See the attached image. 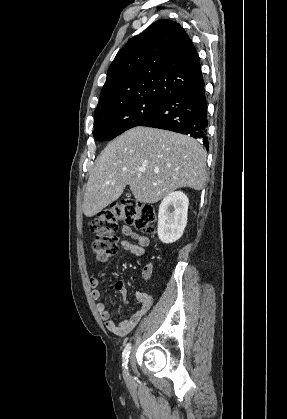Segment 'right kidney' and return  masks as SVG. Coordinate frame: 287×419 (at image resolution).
<instances>
[{
    "label": "right kidney",
    "instance_id": "ca27d5eb",
    "mask_svg": "<svg viewBox=\"0 0 287 419\" xmlns=\"http://www.w3.org/2000/svg\"><path fill=\"white\" fill-rule=\"evenodd\" d=\"M189 200L181 192H171L164 197L158 212L157 233L165 244L177 241L183 234L187 224Z\"/></svg>",
    "mask_w": 287,
    "mask_h": 419
}]
</instances>
